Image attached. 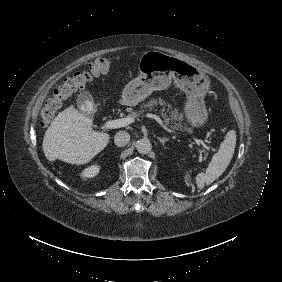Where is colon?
<instances>
[{
	"label": "colon",
	"instance_id": "obj_1",
	"mask_svg": "<svg viewBox=\"0 0 282 282\" xmlns=\"http://www.w3.org/2000/svg\"><path fill=\"white\" fill-rule=\"evenodd\" d=\"M111 56H100L94 59L88 70L74 74L56 88L55 94L43 107L40 114V125L47 127L61 109L62 104L75 91L79 90L92 77L107 73L113 66Z\"/></svg>",
	"mask_w": 282,
	"mask_h": 282
}]
</instances>
